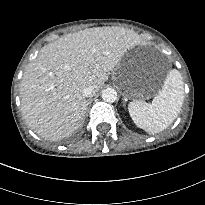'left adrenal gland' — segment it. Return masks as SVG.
<instances>
[{
  "mask_svg": "<svg viewBox=\"0 0 205 205\" xmlns=\"http://www.w3.org/2000/svg\"><path fill=\"white\" fill-rule=\"evenodd\" d=\"M123 106H124V107L126 106L125 103H123Z\"/></svg>",
  "mask_w": 205,
  "mask_h": 205,
  "instance_id": "obj_1",
  "label": "left adrenal gland"
}]
</instances>
